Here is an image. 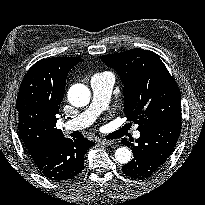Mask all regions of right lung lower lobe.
I'll return each mask as SVG.
<instances>
[{"instance_id": "right-lung-lower-lobe-1", "label": "right lung lower lobe", "mask_w": 205, "mask_h": 205, "mask_svg": "<svg viewBox=\"0 0 205 205\" xmlns=\"http://www.w3.org/2000/svg\"><path fill=\"white\" fill-rule=\"evenodd\" d=\"M95 143L86 138H64L35 147L28 151L33 163L48 179L70 180L84 167V155Z\"/></svg>"}]
</instances>
